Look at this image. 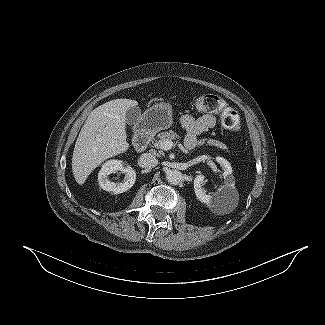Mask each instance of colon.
<instances>
[{
	"label": "colon",
	"instance_id": "1",
	"mask_svg": "<svg viewBox=\"0 0 325 325\" xmlns=\"http://www.w3.org/2000/svg\"><path fill=\"white\" fill-rule=\"evenodd\" d=\"M194 107L200 112L218 114L222 125L231 131L240 128V116L223 98L214 94L201 95L194 99Z\"/></svg>",
	"mask_w": 325,
	"mask_h": 325
}]
</instances>
